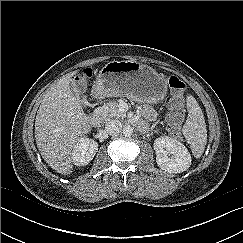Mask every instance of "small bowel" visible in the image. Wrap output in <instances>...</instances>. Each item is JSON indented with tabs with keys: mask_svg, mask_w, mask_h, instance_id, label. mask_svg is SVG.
I'll return each instance as SVG.
<instances>
[{
	"mask_svg": "<svg viewBox=\"0 0 243 243\" xmlns=\"http://www.w3.org/2000/svg\"><path fill=\"white\" fill-rule=\"evenodd\" d=\"M145 114L148 116V117H152L154 115V111L150 108H146L145 109ZM143 125V129H145V124L144 123H141Z\"/></svg>",
	"mask_w": 243,
	"mask_h": 243,
	"instance_id": "small-bowel-1",
	"label": "small bowel"
}]
</instances>
